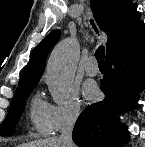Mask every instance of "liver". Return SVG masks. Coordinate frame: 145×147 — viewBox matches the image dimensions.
Listing matches in <instances>:
<instances>
[{"label":"liver","instance_id":"1","mask_svg":"<svg viewBox=\"0 0 145 147\" xmlns=\"http://www.w3.org/2000/svg\"><path fill=\"white\" fill-rule=\"evenodd\" d=\"M19 147H62L58 138H47L34 140L31 142H27L25 144H21Z\"/></svg>","mask_w":145,"mask_h":147}]
</instances>
